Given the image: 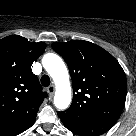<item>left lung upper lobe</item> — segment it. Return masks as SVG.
Returning a JSON list of instances; mask_svg holds the SVG:
<instances>
[{"label":"left lung upper lobe","mask_w":136,"mask_h":136,"mask_svg":"<svg viewBox=\"0 0 136 136\" xmlns=\"http://www.w3.org/2000/svg\"><path fill=\"white\" fill-rule=\"evenodd\" d=\"M52 47L68 65L74 92L71 106L58 112L60 119L115 123L126 100V76L118 61L88 41L54 42Z\"/></svg>","instance_id":"5c2ea615"}]
</instances>
